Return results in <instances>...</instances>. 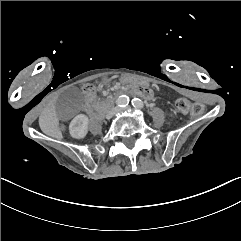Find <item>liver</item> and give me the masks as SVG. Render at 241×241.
I'll list each match as a JSON object with an SVG mask.
<instances>
[{"mask_svg":"<svg viewBox=\"0 0 241 241\" xmlns=\"http://www.w3.org/2000/svg\"><path fill=\"white\" fill-rule=\"evenodd\" d=\"M39 126L43 133L57 139H62V132L59 129V120L54 108H47L39 118Z\"/></svg>","mask_w":241,"mask_h":241,"instance_id":"liver-1","label":"liver"}]
</instances>
